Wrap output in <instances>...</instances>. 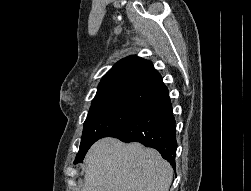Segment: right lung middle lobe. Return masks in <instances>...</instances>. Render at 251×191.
I'll return each instance as SVG.
<instances>
[{
	"label": "right lung middle lobe",
	"mask_w": 251,
	"mask_h": 191,
	"mask_svg": "<svg viewBox=\"0 0 251 191\" xmlns=\"http://www.w3.org/2000/svg\"><path fill=\"white\" fill-rule=\"evenodd\" d=\"M140 110L142 109L122 104H108L90 108L84 122L80 149L74 163L82 162L94 142L107 137L109 133L124 125Z\"/></svg>",
	"instance_id": "obj_1"
}]
</instances>
